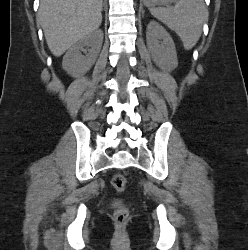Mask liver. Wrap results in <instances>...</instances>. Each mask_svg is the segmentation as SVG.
<instances>
[{"label":"liver","instance_id":"obj_1","mask_svg":"<svg viewBox=\"0 0 248 250\" xmlns=\"http://www.w3.org/2000/svg\"><path fill=\"white\" fill-rule=\"evenodd\" d=\"M102 0H40L38 21L54 56H61L102 22Z\"/></svg>","mask_w":248,"mask_h":250}]
</instances>
